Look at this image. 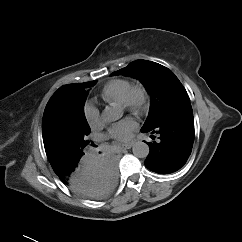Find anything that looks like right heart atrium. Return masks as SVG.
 <instances>
[{
	"mask_svg": "<svg viewBox=\"0 0 242 242\" xmlns=\"http://www.w3.org/2000/svg\"><path fill=\"white\" fill-rule=\"evenodd\" d=\"M83 115L90 127H96L101 123L99 109L90 102H87L83 106Z\"/></svg>",
	"mask_w": 242,
	"mask_h": 242,
	"instance_id": "d8ad5b80",
	"label": "right heart atrium"
}]
</instances>
